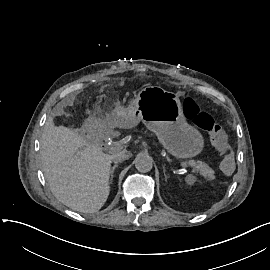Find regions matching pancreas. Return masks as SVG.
Listing matches in <instances>:
<instances>
[{"label":"pancreas","instance_id":"pancreas-1","mask_svg":"<svg viewBox=\"0 0 270 270\" xmlns=\"http://www.w3.org/2000/svg\"><path fill=\"white\" fill-rule=\"evenodd\" d=\"M189 166L193 167L195 172H199L204 177H208V180L215 179L214 170L210 168L206 163L202 161L189 160L186 162Z\"/></svg>","mask_w":270,"mask_h":270}]
</instances>
